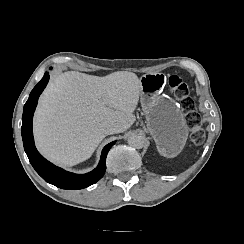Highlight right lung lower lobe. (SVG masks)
Segmentation results:
<instances>
[{
  "label": "right lung lower lobe",
  "mask_w": 244,
  "mask_h": 244,
  "mask_svg": "<svg viewBox=\"0 0 244 244\" xmlns=\"http://www.w3.org/2000/svg\"><path fill=\"white\" fill-rule=\"evenodd\" d=\"M48 80L49 74L46 72L41 81L33 88L27 102L24 105L21 133L25 152L33 168L48 183L62 189L76 190L86 188L96 183L103 177L106 171L107 153L115 144V141L107 144L104 147L99 165L93 171L86 174H73L67 172L59 167H56L42 157L34 145L32 118L37 106L39 95L46 87Z\"/></svg>",
  "instance_id": "98d812e1"
}]
</instances>
